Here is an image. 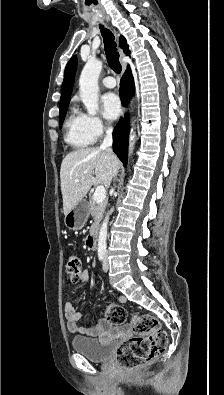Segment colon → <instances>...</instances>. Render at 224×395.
<instances>
[{
  "instance_id": "colon-1",
  "label": "colon",
  "mask_w": 224,
  "mask_h": 395,
  "mask_svg": "<svg viewBox=\"0 0 224 395\" xmlns=\"http://www.w3.org/2000/svg\"><path fill=\"white\" fill-rule=\"evenodd\" d=\"M82 270V262L77 256H70L66 264L68 276L76 280ZM106 320L122 325L127 320V312L121 305H105ZM135 336L122 343L116 352V360L124 369H137L157 358L167 347L168 336L156 318L150 314L135 315L131 321Z\"/></svg>"
}]
</instances>
